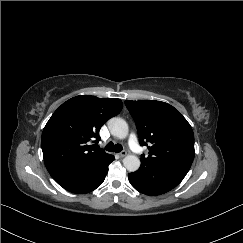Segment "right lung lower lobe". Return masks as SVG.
<instances>
[{"label":"right lung lower lobe","mask_w":243,"mask_h":243,"mask_svg":"<svg viewBox=\"0 0 243 243\" xmlns=\"http://www.w3.org/2000/svg\"><path fill=\"white\" fill-rule=\"evenodd\" d=\"M114 159V156L108 154L82 170L61 175L54 180L67 191L78 194L89 193L102 184L108 166Z\"/></svg>","instance_id":"98d812e1"}]
</instances>
